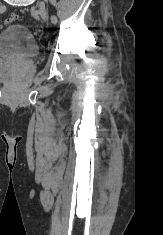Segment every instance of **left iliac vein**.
Listing matches in <instances>:
<instances>
[{"mask_svg": "<svg viewBox=\"0 0 163 235\" xmlns=\"http://www.w3.org/2000/svg\"><path fill=\"white\" fill-rule=\"evenodd\" d=\"M39 14L44 22L47 21V12L42 2L38 3Z\"/></svg>", "mask_w": 163, "mask_h": 235, "instance_id": "obj_1", "label": "left iliac vein"}]
</instances>
